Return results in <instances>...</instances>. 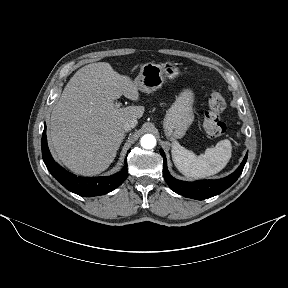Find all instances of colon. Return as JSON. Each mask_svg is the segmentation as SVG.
<instances>
[{"instance_id":"obj_1","label":"colon","mask_w":288,"mask_h":288,"mask_svg":"<svg viewBox=\"0 0 288 288\" xmlns=\"http://www.w3.org/2000/svg\"><path fill=\"white\" fill-rule=\"evenodd\" d=\"M226 108L224 97L217 91H211L203 113V128L209 138H218L226 131L222 113Z\"/></svg>"}]
</instances>
